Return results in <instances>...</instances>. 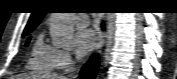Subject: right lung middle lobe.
Instances as JSON below:
<instances>
[{"label":"right lung middle lobe","mask_w":177,"mask_h":79,"mask_svg":"<svg viewBox=\"0 0 177 79\" xmlns=\"http://www.w3.org/2000/svg\"><path fill=\"white\" fill-rule=\"evenodd\" d=\"M33 29H34V27H33V28H26V29L24 30L23 34H22V37L26 36V35H27L28 33H30ZM29 40H30V39L27 40L26 46L28 45Z\"/></svg>","instance_id":"obj_1"}]
</instances>
